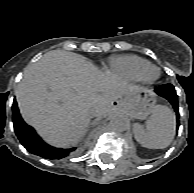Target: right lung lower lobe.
<instances>
[{
    "mask_svg": "<svg viewBox=\"0 0 194 193\" xmlns=\"http://www.w3.org/2000/svg\"><path fill=\"white\" fill-rule=\"evenodd\" d=\"M14 130L21 144L32 154L47 159H61L70 155L76 147L73 148H54L46 144L36 134L35 130L28 126L19 114L18 106L14 100L13 106Z\"/></svg>",
    "mask_w": 194,
    "mask_h": 193,
    "instance_id": "right-lung-lower-lobe-1",
    "label": "right lung lower lobe"
}]
</instances>
